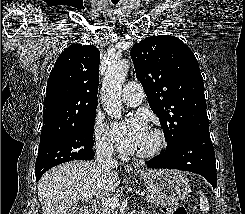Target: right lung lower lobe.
<instances>
[{"mask_svg": "<svg viewBox=\"0 0 245 214\" xmlns=\"http://www.w3.org/2000/svg\"><path fill=\"white\" fill-rule=\"evenodd\" d=\"M93 158H94V154H93ZM42 175H43V173H36V181H38Z\"/></svg>", "mask_w": 245, "mask_h": 214, "instance_id": "right-lung-lower-lobe-1", "label": "right lung lower lobe"}]
</instances>
